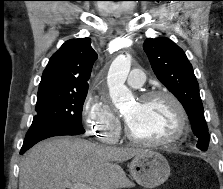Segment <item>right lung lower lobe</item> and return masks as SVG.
Instances as JSON below:
<instances>
[{
    "mask_svg": "<svg viewBox=\"0 0 223 189\" xmlns=\"http://www.w3.org/2000/svg\"><path fill=\"white\" fill-rule=\"evenodd\" d=\"M80 134L81 133L75 132L71 128L65 125L55 124V123L32 122V125L25 136L20 154H23L33 145L46 138L53 136H61V135H80Z\"/></svg>",
    "mask_w": 223,
    "mask_h": 189,
    "instance_id": "1",
    "label": "right lung lower lobe"
}]
</instances>
